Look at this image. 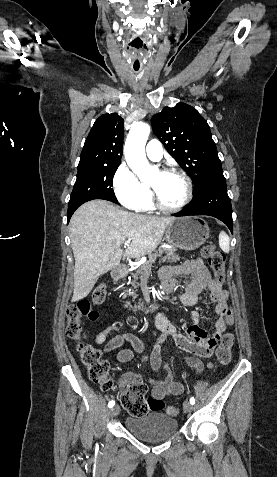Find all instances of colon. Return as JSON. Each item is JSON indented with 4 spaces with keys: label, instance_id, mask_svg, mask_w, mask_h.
Returning <instances> with one entry per match:
<instances>
[{
    "label": "colon",
    "instance_id": "colon-1",
    "mask_svg": "<svg viewBox=\"0 0 277 477\" xmlns=\"http://www.w3.org/2000/svg\"><path fill=\"white\" fill-rule=\"evenodd\" d=\"M201 256L206 259L212 268L215 278L224 282L225 280V255L212 244L205 245L201 249ZM106 299V288L99 285L87 299L79 301L67 312L68 325L67 336L76 342V349L80 355L81 362L87 368L90 379L99 384L103 390H109L113 386V381L109 377V364L101 357L99 350L86 343L81 327V320H96L98 312L96 308ZM225 311L223 319L227 326L234 324L235 313L229 305ZM234 345V337L231 333H225L221 336L220 344L216 350L217 360L221 364H227L231 359V350ZM146 385L138 383H122L120 402L122 406L133 416H142L149 411H160L164 408V402L161 399L152 396L146 398ZM167 414L176 416L178 409L168 407Z\"/></svg>",
    "mask_w": 277,
    "mask_h": 477
}]
</instances>
